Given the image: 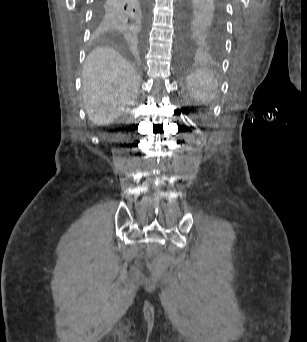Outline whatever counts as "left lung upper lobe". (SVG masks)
I'll return each mask as SVG.
<instances>
[{"label":"left lung upper lobe","mask_w":307,"mask_h":342,"mask_svg":"<svg viewBox=\"0 0 307 342\" xmlns=\"http://www.w3.org/2000/svg\"><path fill=\"white\" fill-rule=\"evenodd\" d=\"M180 10L183 51L220 53L225 39L224 0H182Z\"/></svg>","instance_id":"left-lung-upper-lobe-1"}]
</instances>
